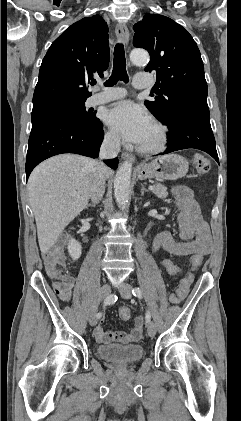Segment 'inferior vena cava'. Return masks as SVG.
<instances>
[{
  "label": "inferior vena cava",
  "mask_w": 241,
  "mask_h": 421,
  "mask_svg": "<svg viewBox=\"0 0 241 421\" xmlns=\"http://www.w3.org/2000/svg\"><path fill=\"white\" fill-rule=\"evenodd\" d=\"M120 151V138L116 135H108L104 138L100 147V159L115 158ZM94 173L90 186V198L92 202L98 203L105 192V180L107 166L100 160L94 164Z\"/></svg>",
  "instance_id": "inferior-vena-cava-1"
}]
</instances>
